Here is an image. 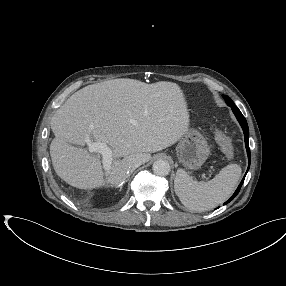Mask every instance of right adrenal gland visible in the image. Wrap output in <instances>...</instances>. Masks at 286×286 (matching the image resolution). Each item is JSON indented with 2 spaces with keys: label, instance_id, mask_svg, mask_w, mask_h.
I'll use <instances>...</instances> for the list:
<instances>
[{
  "label": "right adrenal gland",
  "instance_id": "right-adrenal-gland-1",
  "mask_svg": "<svg viewBox=\"0 0 286 286\" xmlns=\"http://www.w3.org/2000/svg\"><path fill=\"white\" fill-rule=\"evenodd\" d=\"M120 187V190L122 189V185L121 186H119Z\"/></svg>",
  "mask_w": 286,
  "mask_h": 286
}]
</instances>
